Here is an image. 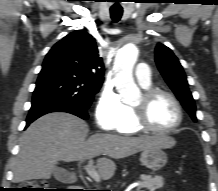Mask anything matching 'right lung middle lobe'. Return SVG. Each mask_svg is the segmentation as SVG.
<instances>
[{"mask_svg":"<svg viewBox=\"0 0 218 191\" xmlns=\"http://www.w3.org/2000/svg\"><path fill=\"white\" fill-rule=\"evenodd\" d=\"M101 84L56 63L44 62L33 92L35 102L55 98L88 109Z\"/></svg>","mask_w":218,"mask_h":191,"instance_id":"obj_1","label":"right lung middle lobe"}]
</instances>
